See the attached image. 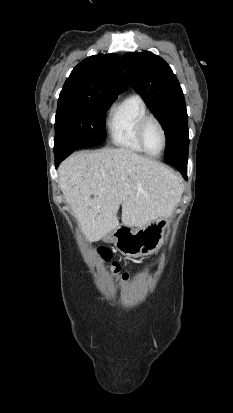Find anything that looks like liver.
<instances>
[{
    "mask_svg": "<svg viewBox=\"0 0 233 413\" xmlns=\"http://www.w3.org/2000/svg\"><path fill=\"white\" fill-rule=\"evenodd\" d=\"M59 186L82 232L98 241L122 224L143 227L168 218L183 193L181 179L161 163L126 148L80 151L58 169Z\"/></svg>",
    "mask_w": 233,
    "mask_h": 413,
    "instance_id": "6515ba94",
    "label": "liver"
}]
</instances>
